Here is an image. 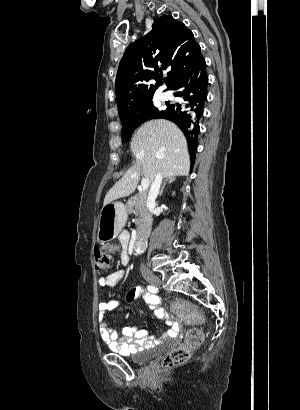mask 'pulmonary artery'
Instances as JSON below:
<instances>
[{"label": "pulmonary artery", "instance_id": "obj_1", "mask_svg": "<svg viewBox=\"0 0 300 410\" xmlns=\"http://www.w3.org/2000/svg\"><path fill=\"white\" fill-rule=\"evenodd\" d=\"M170 97V95L168 94V93H163L162 95H161V99L162 100H166V99H168Z\"/></svg>", "mask_w": 300, "mask_h": 410}]
</instances>
